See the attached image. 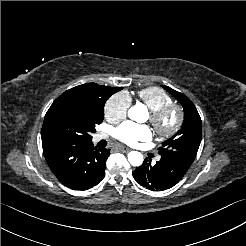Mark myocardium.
<instances>
[{"mask_svg": "<svg viewBox=\"0 0 246 246\" xmlns=\"http://www.w3.org/2000/svg\"><path fill=\"white\" fill-rule=\"evenodd\" d=\"M173 116V121L167 120ZM184 121L183 109L177 104H169L162 108L150 111V123L157 134L163 138L174 136L182 127Z\"/></svg>", "mask_w": 246, "mask_h": 246, "instance_id": "1", "label": "myocardium"}]
</instances>
